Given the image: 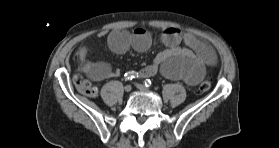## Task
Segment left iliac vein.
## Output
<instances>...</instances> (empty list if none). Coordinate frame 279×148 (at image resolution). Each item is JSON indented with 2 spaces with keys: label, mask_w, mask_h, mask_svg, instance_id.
I'll return each mask as SVG.
<instances>
[{
  "label": "left iliac vein",
  "mask_w": 279,
  "mask_h": 148,
  "mask_svg": "<svg viewBox=\"0 0 279 148\" xmlns=\"http://www.w3.org/2000/svg\"><path fill=\"white\" fill-rule=\"evenodd\" d=\"M136 87L140 90V91H143V92H148L149 89L145 86V85H142V84H136Z\"/></svg>",
  "instance_id": "left-iliac-vein-1"
}]
</instances>
